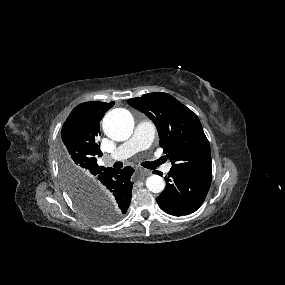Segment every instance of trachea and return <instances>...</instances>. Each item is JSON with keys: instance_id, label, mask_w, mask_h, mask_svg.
I'll list each match as a JSON object with an SVG mask.
<instances>
[{"instance_id": "obj_1", "label": "trachea", "mask_w": 285, "mask_h": 285, "mask_svg": "<svg viewBox=\"0 0 285 285\" xmlns=\"http://www.w3.org/2000/svg\"><path fill=\"white\" fill-rule=\"evenodd\" d=\"M162 160H157V161H154V162H142L141 165L145 168H148V169H155L157 167V164L158 163H161ZM123 166V163L122 162H116L114 164V167L115 168H121Z\"/></svg>"}]
</instances>
